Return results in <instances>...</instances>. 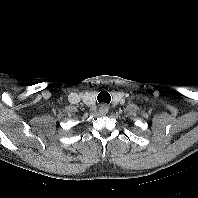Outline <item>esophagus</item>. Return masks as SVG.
Returning a JSON list of instances; mask_svg holds the SVG:
<instances>
[{
	"label": "esophagus",
	"instance_id": "obj_1",
	"mask_svg": "<svg viewBox=\"0 0 198 198\" xmlns=\"http://www.w3.org/2000/svg\"><path fill=\"white\" fill-rule=\"evenodd\" d=\"M109 111V107L105 104H102L100 107H99V113L101 115H106Z\"/></svg>",
	"mask_w": 198,
	"mask_h": 198
}]
</instances>
